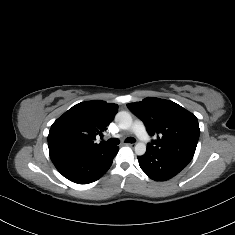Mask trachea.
Segmentation results:
<instances>
[{"label":"trachea","mask_w":235,"mask_h":235,"mask_svg":"<svg viewBox=\"0 0 235 235\" xmlns=\"http://www.w3.org/2000/svg\"><path fill=\"white\" fill-rule=\"evenodd\" d=\"M136 140H135V138H133V137H129V138H127L126 139V143H134ZM107 145H118L119 144V140L118 139H116V138H111V139H109V140H107L106 142H105Z\"/></svg>","instance_id":"obj_1"}]
</instances>
